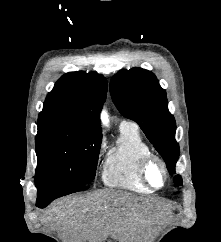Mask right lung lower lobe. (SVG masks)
Instances as JSON below:
<instances>
[{
    "mask_svg": "<svg viewBox=\"0 0 221 242\" xmlns=\"http://www.w3.org/2000/svg\"><path fill=\"white\" fill-rule=\"evenodd\" d=\"M37 187V202L39 208L46 207L54 199L71 194L74 192L86 190V185H74L65 183L43 182L36 184Z\"/></svg>",
    "mask_w": 221,
    "mask_h": 242,
    "instance_id": "right-lung-lower-lobe-1",
    "label": "right lung lower lobe"
}]
</instances>
